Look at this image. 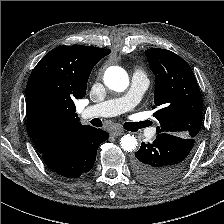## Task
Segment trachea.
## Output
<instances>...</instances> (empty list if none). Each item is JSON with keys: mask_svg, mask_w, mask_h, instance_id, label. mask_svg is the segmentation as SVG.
Masks as SVG:
<instances>
[{"mask_svg": "<svg viewBox=\"0 0 224 224\" xmlns=\"http://www.w3.org/2000/svg\"><path fill=\"white\" fill-rule=\"evenodd\" d=\"M100 125H97V127H100ZM147 126V123L145 121L142 122H127L124 124V128L128 131L135 132L140 128H144Z\"/></svg>", "mask_w": 224, "mask_h": 224, "instance_id": "trachea-1", "label": "trachea"}]
</instances>
